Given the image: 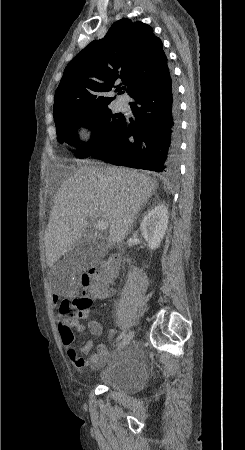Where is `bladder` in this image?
<instances>
[{
	"instance_id": "obj_1",
	"label": "bladder",
	"mask_w": 245,
	"mask_h": 450,
	"mask_svg": "<svg viewBox=\"0 0 245 450\" xmlns=\"http://www.w3.org/2000/svg\"><path fill=\"white\" fill-rule=\"evenodd\" d=\"M93 383L126 395L138 393L146 381L147 371L139 359L117 358L97 374H88Z\"/></svg>"
}]
</instances>
